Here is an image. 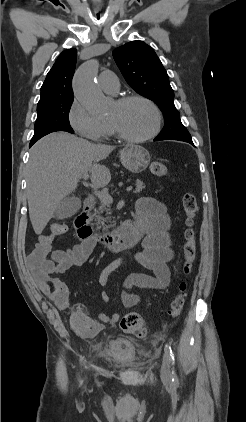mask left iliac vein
Here are the masks:
<instances>
[{"instance_id": "4c4485c4", "label": "left iliac vein", "mask_w": 246, "mask_h": 422, "mask_svg": "<svg viewBox=\"0 0 246 422\" xmlns=\"http://www.w3.org/2000/svg\"><path fill=\"white\" fill-rule=\"evenodd\" d=\"M161 377H162V380L165 382H168L171 379L170 359L167 353L163 355L162 366H161Z\"/></svg>"}]
</instances>
